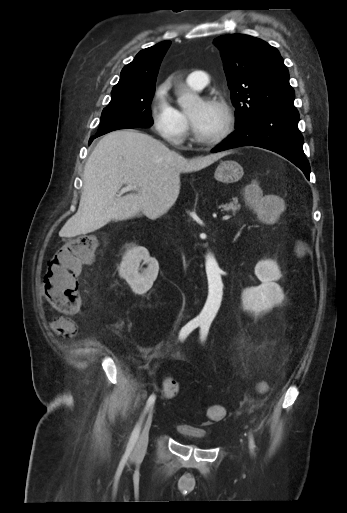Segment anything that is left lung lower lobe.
<instances>
[{
    "label": "left lung lower lobe",
    "instance_id": "0a47b994",
    "mask_svg": "<svg viewBox=\"0 0 347 513\" xmlns=\"http://www.w3.org/2000/svg\"><path fill=\"white\" fill-rule=\"evenodd\" d=\"M297 110L261 113L236 130L213 152L240 146H256L276 152L297 167L309 179L310 166L303 151V136L298 129Z\"/></svg>",
    "mask_w": 347,
    "mask_h": 513
}]
</instances>
